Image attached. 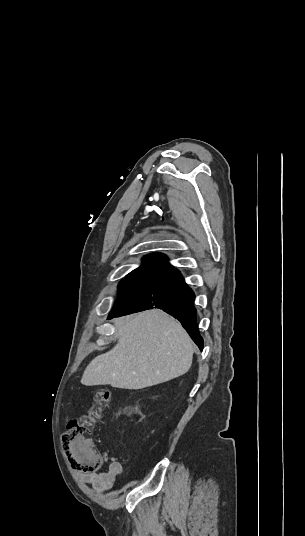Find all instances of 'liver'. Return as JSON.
I'll list each match as a JSON object with an SVG mask.
<instances>
[{
  "instance_id": "6515ba94",
  "label": "liver",
  "mask_w": 305,
  "mask_h": 536,
  "mask_svg": "<svg viewBox=\"0 0 305 536\" xmlns=\"http://www.w3.org/2000/svg\"><path fill=\"white\" fill-rule=\"evenodd\" d=\"M118 344L88 364L83 386L141 390L179 378L191 368L193 344L180 322L160 310L113 320Z\"/></svg>"
}]
</instances>
